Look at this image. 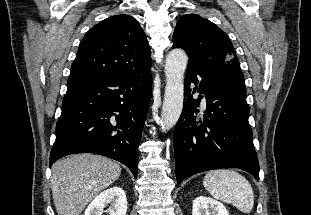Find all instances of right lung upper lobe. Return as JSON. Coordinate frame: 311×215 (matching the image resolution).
Instances as JSON below:
<instances>
[{
    "label": "right lung upper lobe",
    "instance_id": "1",
    "mask_svg": "<svg viewBox=\"0 0 311 215\" xmlns=\"http://www.w3.org/2000/svg\"><path fill=\"white\" fill-rule=\"evenodd\" d=\"M151 51L136 19L121 14L96 24L84 36L69 77L130 76L150 70Z\"/></svg>",
    "mask_w": 311,
    "mask_h": 215
}]
</instances>
